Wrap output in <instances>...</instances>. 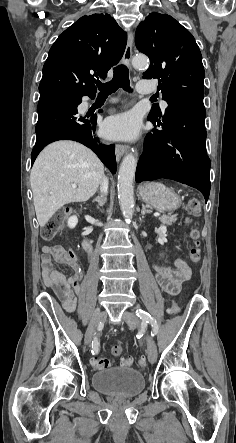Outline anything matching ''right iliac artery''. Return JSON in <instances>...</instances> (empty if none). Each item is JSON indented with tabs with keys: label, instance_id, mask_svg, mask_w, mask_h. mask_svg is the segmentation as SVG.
I'll return each mask as SVG.
<instances>
[{
	"label": "right iliac artery",
	"instance_id": "82829eb1",
	"mask_svg": "<svg viewBox=\"0 0 236 443\" xmlns=\"http://www.w3.org/2000/svg\"><path fill=\"white\" fill-rule=\"evenodd\" d=\"M91 352L93 355L98 354V352H99V342H98V339L96 336L94 337V339L92 341V351Z\"/></svg>",
	"mask_w": 236,
	"mask_h": 443
}]
</instances>
